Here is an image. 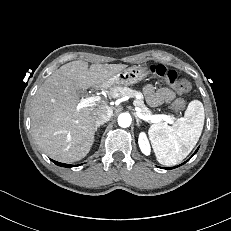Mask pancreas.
<instances>
[{
    "label": "pancreas",
    "mask_w": 231,
    "mask_h": 231,
    "mask_svg": "<svg viewBox=\"0 0 231 231\" xmlns=\"http://www.w3.org/2000/svg\"><path fill=\"white\" fill-rule=\"evenodd\" d=\"M109 94L113 98H120L124 96H128L130 98H135L137 95H140V92L136 90H132L128 87H121V86H112L109 89ZM134 105L140 108V113L149 116L151 111L145 106L143 99H135Z\"/></svg>",
    "instance_id": "pancreas-1"
}]
</instances>
